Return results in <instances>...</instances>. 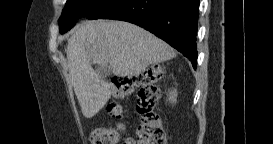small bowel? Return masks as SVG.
Segmentation results:
<instances>
[{"label": "small bowel", "mask_w": 273, "mask_h": 144, "mask_svg": "<svg viewBox=\"0 0 273 144\" xmlns=\"http://www.w3.org/2000/svg\"><path fill=\"white\" fill-rule=\"evenodd\" d=\"M125 143H126V144H130L131 142H130V141H126Z\"/></svg>", "instance_id": "obj_1"}]
</instances>
